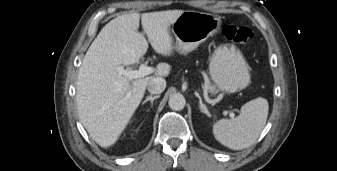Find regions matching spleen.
I'll list each match as a JSON object with an SVG mask.
<instances>
[{"label": "spleen", "mask_w": 337, "mask_h": 171, "mask_svg": "<svg viewBox=\"0 0 337 171\" xmlns=\"http://www.w3.org/2000/svg\"><path fill=\"white\" fill-rule=\"evenodd\" d=\"M268 110V101L262 97L245 103L238 117L221 119L214 124L216 140L232 150L250 147L265 127Z\"/></svg>", "instance_id": "1"}]
</instances>
